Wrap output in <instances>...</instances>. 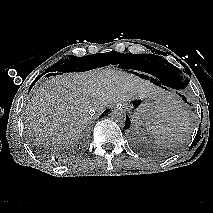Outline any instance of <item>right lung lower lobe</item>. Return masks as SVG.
<instances>
[{
  "mask_svg": "<svg viewBox=\"0 0 213 213\" xmlns=\"http://www.w3.org/2000/svg\"><path fill=\"white\" fill-rule=\"evenodd\" d=\"M57 74H58V73H57ZM59 74H60V73H59ZM48 75H50V74H48ZM48 75H47V76H48ZM51 75H56V73H55V74H51ZM38 79H39V77L36 78V80L34 81V83H35ZM32 86H33V84H32ZM108 111H109L108 109L105 110L102 116H104L106 113H108ZM106 115H107V114H106ZM67 156L69 157V155H67ZM55 161H58V158H57V157L55 158Z\"/></svg>",
  "mask_w": 213,
  "mask_h": 213,
  "instance_id": "right-lung-lower-lobe-1",
  "label": "right lung lower lobe"
}]
</instances>
